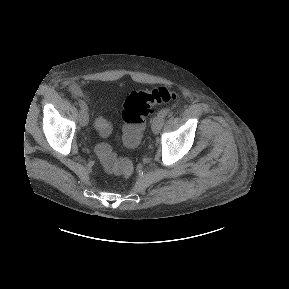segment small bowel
I'll list each match as a JSON object with an SVG mask.
<instances>
[{
	"label": "small bowel",
	"instance_id": "c3829d8e",
	"mask_svg": "<svg viewBox=\"0 0 289 289\" xmlns=\"http://www.w3.org/2000/svg\"><path fill=\"white\" fill-rule=\"evenodd\" d=\"M69 90H70V93L75 97H82L83 96L81 89L76 84H72L70 86Z\"/></svg>",
	"mask_w": 289,
	"mask_h": 289
}]
</instances>
